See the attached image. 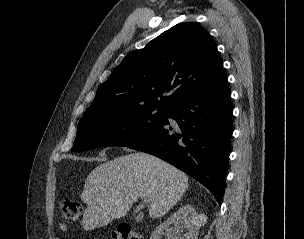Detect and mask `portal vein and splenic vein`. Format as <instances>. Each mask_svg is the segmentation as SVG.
Masks as SVG:
<instances>
[{
    "mask_svg": "<svg viewBox=\"0 0 304 239\" xmlns=\"http://www.w3.org/2000/svg\"><path fill=\"white\" fill-rule=\"evenodd\" d=\"M143 203H148L149 200L147 198H142Z\"/></svg>",
    "mask_w": 304,
    "mask_h": 239,
    "instance_id": "portal-vein-and-splenic-vein-1",
    "label": "portal vein and splenic vein"
}]
</instances>
